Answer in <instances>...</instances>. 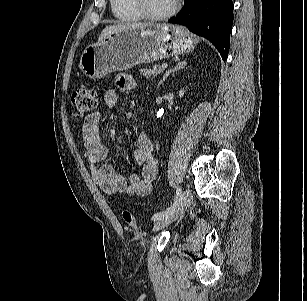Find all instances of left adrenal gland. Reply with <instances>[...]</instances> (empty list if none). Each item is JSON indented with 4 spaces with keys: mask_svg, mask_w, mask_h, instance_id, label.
Listing matches in <instances>:
<instances>
[{
    "mask_svg": "<svg viewBox=\"0 0 307 301\" xmlns=\"http://www.w3.org/2000/svg\"><path fill=\"white\" fill-rule=\"evenodd\" d=\"M185 66H186V62L181 61V62H178L177 65H175L172 69L166 71L165 75L163 76V79L159 82L158 87L163 84V82L168 78V76L171 73H174L177 70L184 68Z\"/></svg>",
    "mask_w": 307,
    "mask_h": 301,
    "instance_id": "a2214340",
    "label": "left adrenal gland"
}]
</instances>
